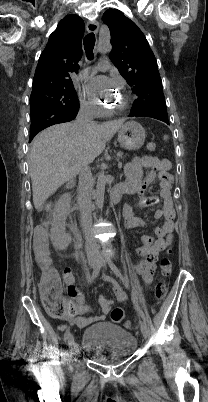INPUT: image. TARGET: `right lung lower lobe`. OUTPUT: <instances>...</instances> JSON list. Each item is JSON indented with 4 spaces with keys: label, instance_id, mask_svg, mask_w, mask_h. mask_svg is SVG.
<instances>
[{
    "label": "right lung lower lobe",
    "instance_id": "right-lung-lower-lobe-1",
    "mask_svg": "<svg viewBox=\"0 0 208 402\" xmlns=\"http://www.w3.org/2000/svg\"><path fill=\"white\" fill-rule=\"evenodd\" d=\"M79 108L72 113H63L61 115H40L38 117L32 118L31 119V131H30V138L29 142L34 138V136L40 132L41 130L54 125V124H59L63 122H68L73 120L78 112Z\"/></svg>",
    "mask_w": 208,
    "mask_h": 402
}]
</instances>
